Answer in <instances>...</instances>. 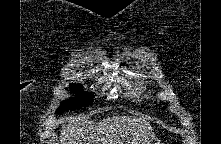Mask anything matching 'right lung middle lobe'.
<instances>
[{"label": "right lung middle lobe", "instance_id": "right-lung-middle-lobe-1", "mask_svg": "<svg viewBox=\"0 0 221 144\" xmlns=\"http://www.w3.org/2000/svg\"><path fill=\"white\" fill-rule=\"evenodd\" d=\"M71 93L81 94L75 98L65 100L57 109V113L65 112L67 110H74L92 103L93 97L90 93H84L80 84L70 85Z\"/></svg>", "mask_w": 221, "mask_h": 144}]
</instances>
